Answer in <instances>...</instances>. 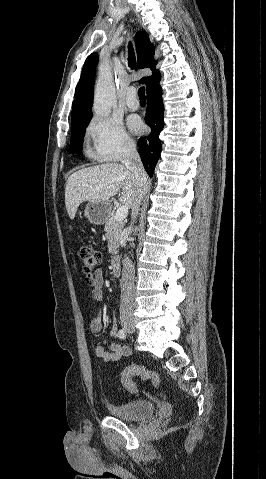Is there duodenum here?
Masks as SVG:
<instances>
[{"mask_svg":"<svg viewBox=\"0 0 266 479\" xmlns=\"http://www.w3.org/2000/svg\"><path fill=\"white\" fill-rule=\"evenodd\" d=\"M121 268V258L119 256H113L111 259V272L114 276H118Z\"/></svg>","mask_w":266,"mask_h":479,"instance_id":"1","label":"duodenum"}]
</instances>
